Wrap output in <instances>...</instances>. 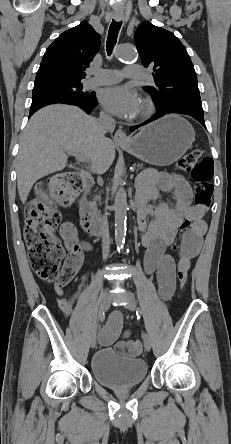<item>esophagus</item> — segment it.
I'll list each match as a JSON object with an SVG mask.
<instances>
[{
  "instance_id": "34e87169",
  "label": "esophagus",
  "mask_w": 231,
  "mask_h": 444,
  "mask_svg": "<svg viewBox=\"0 0 231 444\" xmlns=\"http://www.w3.org/2000/svg\"><path fill=\"white\" fill-rule=\"evenodd\" d=\"M123 15H124L123 11H115L114 12V18L116 21L122 20ZM114 140L117 143H126L129 140L121 125H119V128L115 132Z\"/></svg>"
}]
</instances>
